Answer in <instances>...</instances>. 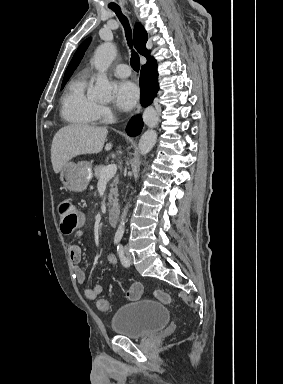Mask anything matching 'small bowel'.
I'll return each instance as SVG.
<instances>
[{"label":"small bowel","mask_w":283,"mask_h":384,"mask_svg":"<svg viewBox=\"0 0 283 384\" xmlns=\"http://www.w3.org/2000/svg\"><path fill=\"white\" fill-rule=\"evenodd\" d=\"M81 236V231L75 233V237ZM69 257L74 265V274L77 282L82 286L84 296L89 300H96L103 291V286L98 284L93 287L86 285L87 275L84 269L80 267L82 261V250L78 245H71L68 249ZM107 261L110 264L116 263V257L114 254L107 256ZM140 285V284H138ZM141 286V285H140Z\"/></svg>","instance_id":"c3829d8e"}]
</instances>
